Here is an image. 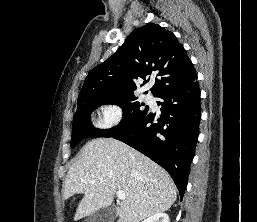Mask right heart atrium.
<instances>
[{"label": "right heart atrium", "instance_id": "right-heart-atrium-1", "mask_svg": "<svg viewBox=\"0 0 257 222\" xmlns=\"http://www.w3.org/2000/svg\"><path fill=\"white\" fill-rule=\"evenodd\" d=\"M111 110V116L109 120H105L101 126L103 127H112L117 125L121 118H122V114H123V109L121 106L119 105H113L109 108ZM108 109V110H109ZM107 112V110H106Z\"/></svg>", "mask_w": 257, "mask_h": 222}]
</instances>
